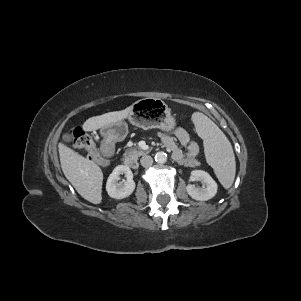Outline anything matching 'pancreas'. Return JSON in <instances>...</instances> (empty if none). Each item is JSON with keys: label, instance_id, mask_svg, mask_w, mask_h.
Segmentation results:
<instances>
[{"label": "pancreas", "instance_id": "pancreas-1", "mask_svg": "<svg viewBox=\"0 0 301 301\" xmlns=\"http://www.w3.org/2000/svg\"><path fill=\"white\" fill-rule=\"evenodd\" d=\"M146 152L141 150L139 147L134 146L133 148L127 149L124 153V156L126 158H130V159H137L138 157L145 155ZM186 165L187 166H196L199 165V162L197 160L194 159H190L186 161Z\"/></svg>", "mask_w": 301, "mask_h": 301}]
</instances>
